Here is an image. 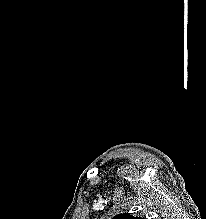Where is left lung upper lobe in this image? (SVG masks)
Returning <instances> with one entry per match:
<instances>
[{
    "instance_id": "1",
    "label": "left lung upper lobe",
    "mask_w": 206,
    "mask_h": 219,
    "mask_svg": "<svg viewBox=\"0 0 206 219\" xmlns=\"http://www.w3.org/2000/svg\"><path fill=\"white\" fill-rule=\"evenodd\" d=\"M113 219H142V218H136L130 215L129 213L119 214L113 217Z\"/></svg>"
}]
</instances>
